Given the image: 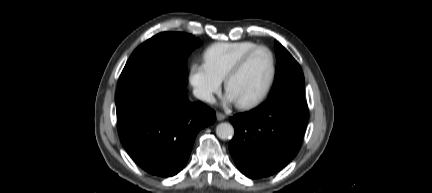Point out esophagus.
I'll return each instance as SVG.
<instances>
[{
    "instance_id": "1",
    "label": "esophagus",
    "mask_w": 432,
    "mask_h": 193,
    "mask_svg": "<svg viewBox=\"0 0 432 193\" xmlns=\"http://www.w3.org/2000/svg\"><path fill=\"white\" fill-rule=\"evenodd\" d=\"M216 118H217L218 121H222V120L226 119V115L223 114V113H221V112H217L216 113Z\"/></svg>"
}]
</instances>
